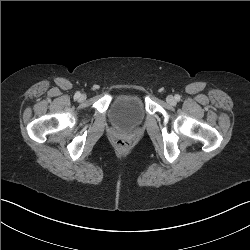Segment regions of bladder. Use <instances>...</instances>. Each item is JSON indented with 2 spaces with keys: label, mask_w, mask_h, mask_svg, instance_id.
Wrapping results in <instances>:
<instances>
[{
  "label": "bladder",
  "mask_w": 250,
  "mask_h": 250,
  "mask_svg": "<svg viewBox=\"0 0 250 250\" xmlns=\"http://www.w3.org/2000/svg\"><path fill=\"white\" fill-rule=\"evenodd\" d=\"M110 117L114 125L122 129H132L140 125L145 117L142 99L137 95H119L110 107Z\"/></svg>",
  "instance_id": "obj_1"
}]
</instances>
